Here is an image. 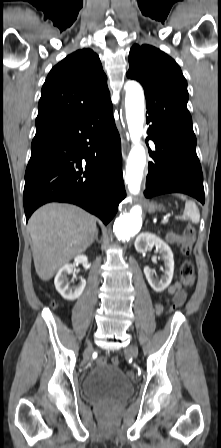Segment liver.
<instances>
[{"label": "liver", "instance_id": "obj_1", "mask_svg": "<svg viewBox=\"0 0 221 448\" xmlns=\"http://www.w3.org/2000/svg\"><path fill=\"white\" fill-rule=\"evenodd\" d=\"M35 270L43 281L82 254L95 237L93 215L69 204L50 203L36 210L29 220Z\"/></svg>", "mask_w": 221, "mask_h": 448}]
</instances>
